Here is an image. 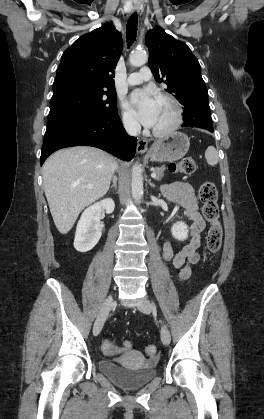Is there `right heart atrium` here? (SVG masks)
<instances>
[{"mask_svg": "<svg viewBox=\"0 0 264 419\" xmlns=\"http://www.w3.org/2000/svg\"><path fill=\"white\" fill-rule=\"evenodd\" d=\"M121 121L124 128L129 132H136L139 129L136 117L124 103H121Z\"/></svg>", "mask_w": 264, "mask_h": 419, "instance_id": "d8ad5b80", "label": "right heart atrium"}]
</instances>
